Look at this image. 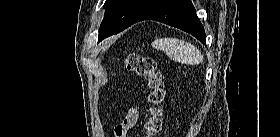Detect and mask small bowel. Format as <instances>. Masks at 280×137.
<instances>
[{
	"instance_id": "c3829d8e",
	"label": "small bowel",
	"mask_w": 280,
	"mask_h": 137,
	"mask_svg": "<svg viewBox=\"0 0 280 137\" xmlns=\"http://www.w3.org/2000/svg\"><path fill=\"white\" fill-rule=\"evenodd\" d=\"M138 117H139L138 110L134 107H130L127 109L126 115L121 123L128 125L130 129L137 123Z\"/></svg>"
}]
</instances>
